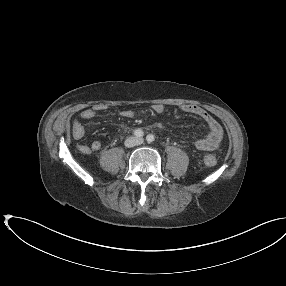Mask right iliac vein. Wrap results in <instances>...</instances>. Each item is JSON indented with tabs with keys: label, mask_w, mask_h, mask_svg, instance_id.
Returning a JSON list of instances; mask_svg holds the SVG:
<instances>
[{
	"label": "right iliac vein",
	"mask_w": 286,
	"mask_h": 286,
	"mask_svg": "<svg viewBox=\"0 0 286 286\" xmlns=\"http://www.w3.org/2000/svg\"><path fill=\"white\" fill-rule=\"evenodd\" d=\"M137 143V139L135 137H128L125 142H124V145L125 147L127 148H131L133 146H135Z\"/></svg>",
	"instance_id": "obj_1"
}]
</instances>
